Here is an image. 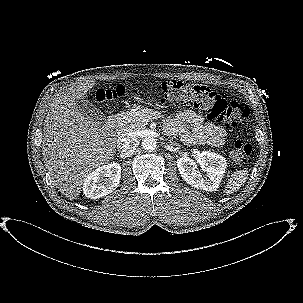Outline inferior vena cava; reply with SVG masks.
<instances>
[{"label":"inferior vena cava","instance_id":"1","mask_svg":"<svg viewBox=\"0 0 303 303\" xmlns=\"http://www.w3.org/2000/svg\"><path fill=\"white\" fill-rule=\"evenodd\" d=\"M118 147L120 149H123L124 151L132 149L133 141L130 139V137L128 135L122 134L118 138Z\"/></svg>","mask_w":303,"mask_h":303}]
</instances>
